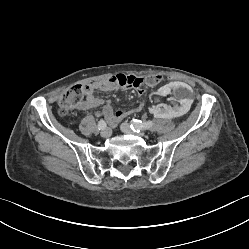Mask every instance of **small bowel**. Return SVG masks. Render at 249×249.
<instances>
[{
	"label": "small bowel",
	"instance_id": "1",
	"mask_svg": "<svg viewBox=\"0 0 249 249\" xmlns=\"http://www.w3.org/2000/svg\"><path fill=\"white\" fill-rule=\"evenodd\" d=\"M132 75L126 74H116L106 79L96 81L84 86L85 99L79 105V108L82 110L94 109L101 107L102 115L111 125H117L121 120L127 116V112L123 110L114 111L110 101L97 98L94 96L96 91L109 92L118 89H129L133 88L129 85L130 78H133ZM164 86V85H163ZM139 108L134 109L131 112H138Z\"/></svg>",
	"mask_w": 249,
	"mask_h": 249
}]
</instances>
